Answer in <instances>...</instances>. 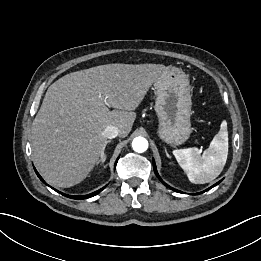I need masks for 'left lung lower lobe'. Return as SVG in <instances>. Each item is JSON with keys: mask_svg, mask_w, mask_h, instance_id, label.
<instances>
[{"mask_svg": "<svg viewBox=\"0 0 261 261\" xmlns=\"http://www.w3.org/2000/svg\"><path fill=\"white\" fill-rule=\"evenodd\" d=\"M153 167H154V172H155L156 176L161 180V178L159 177V175H158V173H157L156 165H155L154 160H153ZM221 181H222V180H220L219 182H217L216 184H214V185L211 186L210 188L206 189L205 191L210 190V189L213 188L214 186L218 185ZM161 182H162L165 186H167L168 188H171V187L168 186L166 183H164L162 180H161ZM171 189H173V190L176 191V192L181 193L180 191H178V190H176V189H174V188H171ZM205 191H203V192H205ZM203 192H200V193H203ZM200 193H196V195H197V194H200Z\"/></svg>", "mask_w": 261, "mask_h": 261, "instance_id": "1", "label": "left lung lower lobe"}]
</instances>
